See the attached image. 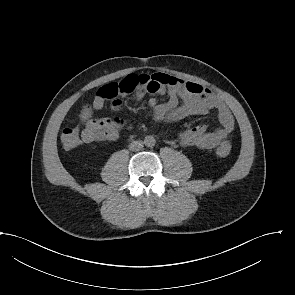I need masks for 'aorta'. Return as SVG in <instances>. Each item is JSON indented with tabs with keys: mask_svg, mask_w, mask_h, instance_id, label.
<instances>
[{
	"mask_svg": "<svg viewBox=\"0 0 295 295\" xmlns=\"http://www.w3.org/2000/svg\"><path fill=\"white\" fill-rule=\"evenodd\" d=\"M145 145L147 146H154L155 144V139L152 136H146L144 140Z\"/></svg>",
	"mask_w": 295,
	"mask_h": 295,
	"instance_id": "1",
	"label": "aorta"
}]
</instances>
